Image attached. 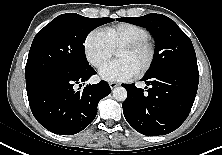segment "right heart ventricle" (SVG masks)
Wrapping results in <instances>:
<instances>
[{"mask_svg": "<svg viewBox=\"0 0 222 155\" xmlns=\"http://www.w3.org/2000/svg\"><path fill=\"white\" fill-rule=\"evenodd\" d=\"M102 33L113 51L124 44L150 38L148 29L133 23H120L109 26L104 28Z\"/></svg>", "mask_w": 222, "mask_h": 155, "instance_id": "1", "label": "right heart ventricle"}]
</instances>
